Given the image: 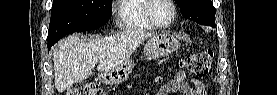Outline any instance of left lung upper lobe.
Masks as SVG:
<instances>
[{"instance_id": "left-lung-upper-lobe-1", "label": "left lung upper lobe", "mask_w": 277, "mask_h": 95, "mask_svg": "<svg viewBox=\"0 0 277 95\" xmlns=\"http://www.w3.org/2000/svg\"><path fill=\"white\" fill-rule=\"evenodd\" d=\"M176 3L186 19L215 27V8L211 0H176Z\"/></svg>"}]
</instances>
